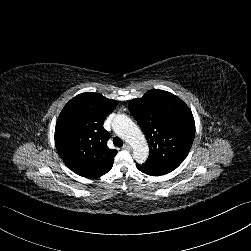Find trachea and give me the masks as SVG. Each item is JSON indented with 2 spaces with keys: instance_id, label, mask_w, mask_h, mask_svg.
<instances>
[{
  "instance_id": "obj_1",
  "label": "trachea",
  "mask_w": 251,
  "mask_h": 251,
  "mask_svg": "<svg viewBox=\"0 0 251 251\" xmlns=\"http://www.w3.org/2000/svg\"><path fill=\"white\" fill-rule=\"evenodd\" d=\"M113 143L117 147H122L123 146V141L119 137H114Z\"/></svg>"
}]
</instances>
